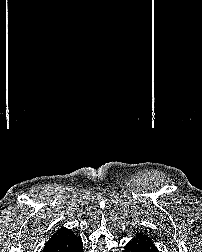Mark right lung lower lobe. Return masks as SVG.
<instances>
[{
  "label": "right lung lower lobe",
  "mask_w": 202,
  "mask_h": 252,
  "mask_svg": "<svg viewBox=\"0 0 202 252\" xmlns=\"http://www.w3.org/2000/svg\"><path fill=\"white\" fill-rule=\"evenodd\" d=\"M74 252H83V243L81 242L77 248L74 250Z\"/></svg>",
  "instance_id": "1"
}]
</instances>
